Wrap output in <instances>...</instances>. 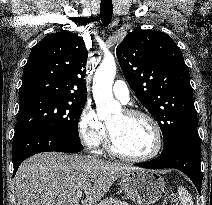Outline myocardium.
Returning a JSON list of instances; mask_svg holds the SVG:
<instances>
[{"instance_id": "1", "label": "myocardium", "mask_w": 212, "mask_h": 205, "mask_svg": "<svg viewBox=\"0 0 212 205\" xmlns=\"http://www.w3.org/2000/svg\"><path fill=\"white\" fill-rule=\"evenodd\" d=\"M123 113L126 116L129 117H140L145 119L148 124L151 127L152 133H153V146L145 154L138 155V156H133V155H128L123 152H121L114 144L111 132L108 128V138H107V149L108 151L114 155L115 157H118L120 159L130 161V162H145L149 161L153 158H155L161 151L162 148V133L160 130V127L157 123V121L154 119L153 116H151L149 113L141 110H134V109H129V110H124Z\"/></svg>"}]
</instances>
